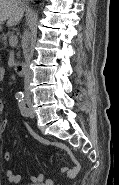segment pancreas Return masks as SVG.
<instances>
[{
  "label": "pancreas",
  "instance_id": "pancreas-1",
  "mask_svg": "<svg viewBox=\"0 0 119 185\" xmlns=\"http://www.w3.org/2000/svg\"><path fill=\"white\" fill-rule=\"evenodd\" d=\"M12 36H14V35H13V32H7V33L3 34V35H2V43H3V44H7L8 38H10V37H12Z\"/></svg>",
  "mask_w": 119,
  "mask_h": 185
}]
</instances>
